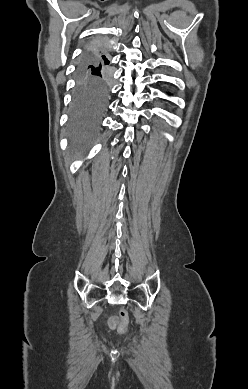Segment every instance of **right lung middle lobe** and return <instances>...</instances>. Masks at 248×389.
Returning <instances> with one entry per match:
<instances>
[{"mask_svg":"<svg viewBox=\"0 0 248 389\" xmlns=\"http://www.w3.org/2000/svg\"><path fill=\"white\" fill-rule=\"evenodd\" d=\"M107 65L89 55H84L78 63L71 122L72 139L82 145L91 143L97 122L107 106L111 79Z\"/></svg>","mask_w":248,"mask_h":389,"instance_id":"obj_1","label":"right lung middle lobe"}]
</instances>
